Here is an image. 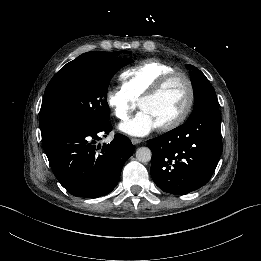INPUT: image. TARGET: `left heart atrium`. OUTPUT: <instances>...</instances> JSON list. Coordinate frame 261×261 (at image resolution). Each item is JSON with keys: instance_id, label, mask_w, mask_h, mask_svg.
<instances>
[{"instance_id": "obj_1", "label": "left heart atrium", "mask_w": 261, "mask_h": 261, "mask_svg": "<svg viewBox=\"0 0 261 261\" xmlns=\"http://www.w3.org/2000/svg\"><path fill=\"white\" fill-rule=\"evenodd\" d=\"M158 127L153 117L144 110H141L135 117L122 124L119 128L126 134L136 137L146 136Z\"/></svg>"}]
</instances>
